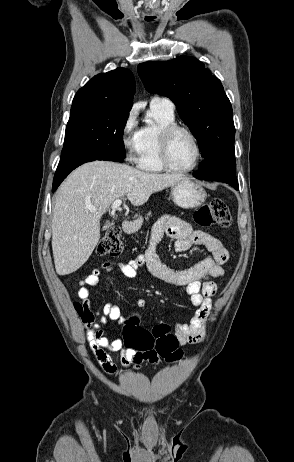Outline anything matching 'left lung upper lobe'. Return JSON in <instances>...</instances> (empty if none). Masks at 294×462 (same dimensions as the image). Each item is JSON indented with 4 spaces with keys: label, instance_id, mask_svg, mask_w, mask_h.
Returning <instances> with one entry per match:
<instances>
[{
    "label": "left lung upper lobe",
    "instance_id": "1",
    "mask_svg": "<svg viewBox=\"0 0 294 462\" xmlns=\"http://www.w3.org/2000/svg\"><path fill=\"white\" fill-rule=\"evenodd\" d=\"M138 73L150 93L170 98L195 135L205 159L235 155L231 103L221 81L202 62L180 56L165 62H145Z\"/></svg>",
    "mask_w": 294,
    "mask_h": 462
}]
</instances>
